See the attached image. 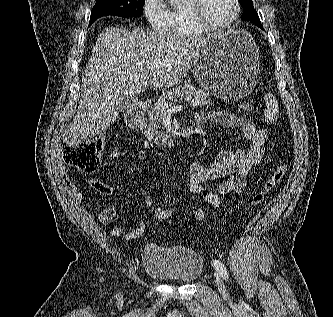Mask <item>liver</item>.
I'll return each instance as SVG.
<instances>
[{"label":"liver","mask_w":333,"mask_h":317,"mask_svg":"<svg viewBox=\"0 0 333 317\" xmlns=\"http://www.w3.org/2000/svg\"><path fill=\"white\" fill-rule=\"evenodd\" d=\"M215 35L186 37L121 27L103 31L83 74L78 110L63 142L78 146L110 127L121 111L119 96H135L149 84L162 89L180 83L202 46Z\"/></svg>","instance_id":"1"}]
</instances>
